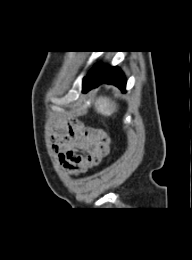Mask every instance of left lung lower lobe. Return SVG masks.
<instances>
[{"mask_svg": "<svg viewBox=\"0 0 192 260\" xmlns=\"http://www.w3.org/2000/svg\"><path fill=\"white\" fill-rule=\"evenodd\" d=\"M102 83L114 84L125 92L126 82L121 70L117 67H109L96 64L83 78V92L86 93L92 88L99 86Z\"/></svg>", "mask_w": 192, "mask_h": 260, "instance_id": "1", "label": "left lung lower lobe"}]
</instances>
